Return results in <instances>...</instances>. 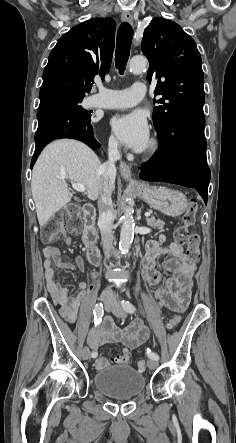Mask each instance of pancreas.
I'll use <instances>...</instances> for the list:
<instances>
[{
    "label": "pancreas",
    "instance_id": "obj_1",
    "mask_svg": "<svg viewBox=\"0 0 236 443\" xmlns=\"http://www.w3.org/2000/svg\"><path fill=\"white\" fill-rule=\"evenodd\" d=\"M147 223L151 228H154V229H163V227L165 225V223L162 220L156 218L155 216H152L151 218H147Z\"/></svg>",
    "mask_w": 236,
    "mask_h": 443
}]
</instances>
